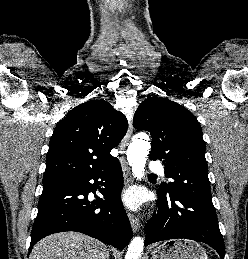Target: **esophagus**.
I'll list each match as a JSON object with an SVG mask.
<instances>
[{
	"label": "esophagus",
	"mask_w": 248,
	"mask_h": 259,
	"mask_svg": "<svg viewBox=\"0 0 248 259\" xmlns=\"http://www.w3.org/2000/svg\"><path fill=\"white\" fill-rule=\"evenodd\" d=\"M132 133H133V119H132V115H129L128 116V129H127V132H126L124 138L122 139V141L120 143V152L122 154L121 163H122L125 187L129 186V184L132 183L130 168L128 166V162L125 157L126 149H127V146H128ZM128 218H129L133 231L137 232L140 228L139 219L131 212H128Z\"/></svg>",
	"instance_id": "1"
}]
</instances>
